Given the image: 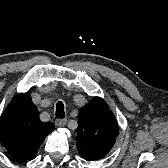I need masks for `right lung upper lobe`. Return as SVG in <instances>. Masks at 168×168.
<instances>
[{
  "label": "right lung upper lobe",
  "instance_id": "1",
  "mask_svg": "<svg viewBox=\"0 0 168 168\" xmlns=\"http://www.w3.org/2000/svg\"><path fill=\"white\" fill-rule=\"evenodd\" d=\"M53 130L51 122L40 121L29 94L15 97L0 117V142L13 159L21 162L34 159Z\"/></svg>",
  "mask_w": 168,
  "mask_h": 168
}]
</instances>
